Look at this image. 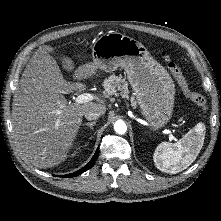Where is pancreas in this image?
<instances>
[{"label":"pancreas","instance_id":"pancreas-1","mask_svg":"<svg viewBox=\"0 0 221 221\" xmlns=\"http://www.w3.org/2000/svg\"><path fill=\"white\" fill-rule=\"evenodd\" d=\"M105 91L110 95L120 94L124 98H129L128 96V82L122 76L111 75L107 79H105L103 83ZM131 104L136 106V101L134 97L130 98Z\"/></svg>","mask_w":221,"mask_h":221}]
</instances>
